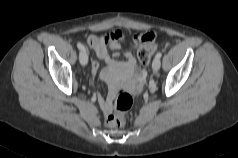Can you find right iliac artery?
<instances>
[{"label":"right iliac artery","instance_id":"obj_1","mask_svg":"<svg viewBox=\"0 0 238 158\" xmlns=\"http://www.w3.org/2000/svg\"><path fill=\"white\" fill-rule=\"evenodd\" d=\"M77 47L80 49V50H86L84 45L81 44V43H77Z\"/></svg>","mask_w":238,"mask_h":158}]
</instances>
